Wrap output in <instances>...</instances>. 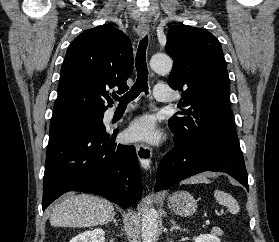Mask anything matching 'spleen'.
Returning <instances> with one entry per match:
<instances>
[{
	"label": "spleen",
	"instance_id": "3e777b00",
	"mask_svg": "<svg viewBox=\"0 0 279 242\" xmlns=\"http://www.w3.org/2000/svg\"><path fill=\"white\" fill-rule=\"evenodd\" d=\"M216 201L228 208L232 214H237L240 210L238 202L229 193L221 190L214 191Z\"/></svg>",
	"mask_w": 279,
	"mask_h": 242
}]
</instances>
